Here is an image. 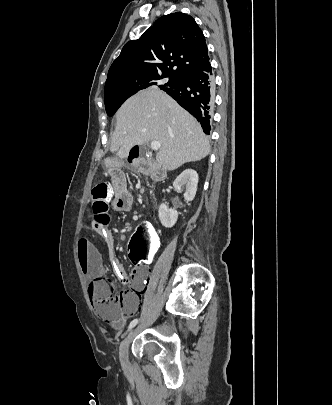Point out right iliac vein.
I'll use <instances>...</instances> for the list:
<instances>
[{"mask_svg": "<svg viewBox=\"0 0 332 405\" xmlns=\"http://www.w3.org/2000/svg\"><path fill=\"white\" fill-rule=\"evenodd\" d=\"M136 333L137 328L132 329L120 345L119 358L123 366H126L128 363V349Z\"/></svg>", "mask_w": 332, "mask_h": 405, "instance_id": "right-iliac-vein-1", "label": "right iliac vein"}]
</instances>
